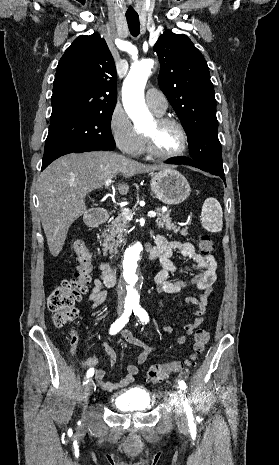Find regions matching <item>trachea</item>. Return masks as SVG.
Wrapping results in <instances>:
<instances>
[{"label": "trachea", "mask_w": 279, "mask_h": 465, "mask_svg": "<svg viewBox=\"0 0 279 465\" xmlns=\"http://www.w3.org/2000/svg\"><path fill=\"white\" fill-rule=\"evenodd\" d=\"M128 28L130 33L136 37L139 35L140 32V23L138 15H126Z\"/></svg>", "instance_id": "obj_1"}]
</instances>
